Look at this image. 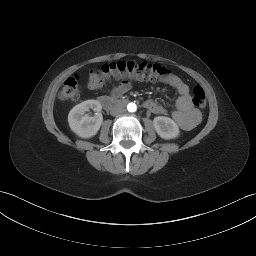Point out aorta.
I'll use <instances>...</instances> for the list:
<instances>
[{
    "label": "aorta",
    "mask_w": 256,
    "mask_h": 256,
    "mask_svg": "<svg viewBox=\"0 0 256 256\" xmlns=\"http://www.w3.org/2000/svg\"><path fill=\"white\" fill-rule=\"evenodd\" d=\"M128 112H135L137 110V106L135 103H129L127 105Z\"/></svg>",
    "instance_id": "obj_1"
}]
</instances>
